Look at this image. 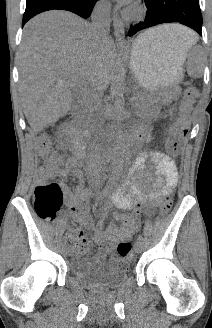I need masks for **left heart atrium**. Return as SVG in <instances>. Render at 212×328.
<instances>
[{"mask_svg": "<svg viewBox=\"0 0 212 328\" xmlns=\"http://www.w3.org/2000/svg\"><path fill=\"white\" fill-rule=\"evenodd\" d=\"M123 3L128 4L130 0H121Z\"/></svg>", "mask_w": 212, "mask_h": 328, "instance_id": "1", "label": "left heart atrium"}]
</instances>
